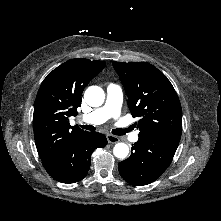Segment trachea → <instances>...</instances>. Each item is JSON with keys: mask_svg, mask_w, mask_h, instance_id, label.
<instances>
[{"mask_svg": "<svg viewBox=\"0 0 221 221\" xmlns=\"http://www.w3.org/2000/svg\"><path fill=\"white\" fill-rule=\"evenodd\" d=\"M81 128L86 129V130H90V131H94L96 130V128L92 125H80ZM130 129H114L112 131L113 134L115 135H124L125 133H127Z\"/></svg>", "mask_w": 221, "mask_h": 221, "instance_id": "obj_1", "label": "trachea"}]
</instances>
